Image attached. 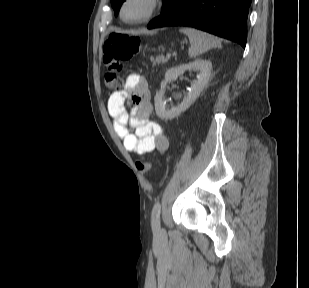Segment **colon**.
<instances>
[{"mask_svg": "<svg viewBox=\"0 0 309 288\" xmlns=\"http://www.w3.org/2000/svg\"><path fill=\"white\" fill-rule=\"evenodd\" d=\"M141 42L137 37L125 33H113L104 43L103 66L104 85L108 89L118 90L122 86L120 73L123 62L131 59L140 50ZM140 171H149L152 164L147 159L140 157L136 161Z\"/></svg>", "mask_w": 309, "mask_h": 288, "instance_id": "colon-1", "label": "colon"}]
</instances>
